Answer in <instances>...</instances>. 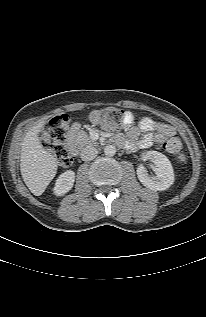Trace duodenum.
I'll return each mask as SVG.
<instances>
[{
    "label": "duodenum",
    "mask_w": 206,
    "mask_h": 317,
    "mask_svg": "<svg viewBox=\"0 0 206 317\" xmlns=\"http://www.w3.org/2000/svg\"><path fill=\"white\" fill-rule=\"evenodd\" d=\"M80 131V126L78 124H73L69 129H68V134L70 137L67 139V148L70 151L72 155H77L78 154V146H77V138L75 135Z\"/></svg>",
    "instance_id": "410a0bca"
}]
</instances>
